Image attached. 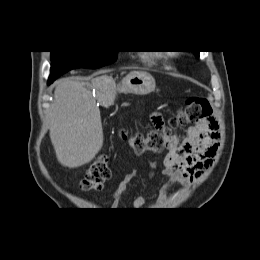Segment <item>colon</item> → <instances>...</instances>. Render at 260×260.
Wrapping results in <instances>:
<instances>
[{
  "label": "colon",
  "mask_w": 260,
  "mask_h": 260,
  "mask_svg": "<svg viewBox=\"0 0 260 260\" xmlns=\"http://www.w3.org/2000/svg\"><path fill=\"white\" fill-rule=\"evenodd\" d=\"M210 118H212V109L208 100L203 97H191L187 100L185 108L179 111L176 117L170 121L169 128H153L144 134L122 132V136L127 139L130 147L137 155L146 152L159 154L169 146L173 136L171 128L199 123ZM110 177L108 157L100 155L87 168L80 186L86 191H99Z\"/></svg>",
  "instance_id": "obj_1"
}]
</instances>
